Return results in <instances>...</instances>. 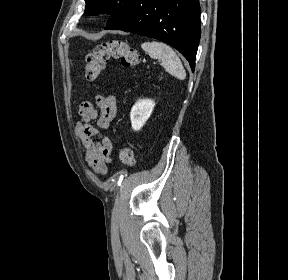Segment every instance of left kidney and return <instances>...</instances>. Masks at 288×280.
Segmentation results:
<instances>
[{
	"mask_svg": "<svg viewBox=\"0 0 288 280\" xmlns=\"http://www.w3.org/2000/svg\"><path fill=\"white\" fill-rule=\"evenodd\" d=\"M155 103L151 99H139L132 107L130 120L133 130H140L152 114Z\"/></svg>",
	"mask_w": 288,
	"mask_h": 280,
	"instance_id": "obj_1",
	"label": "left kidney"
}]
</instances>
